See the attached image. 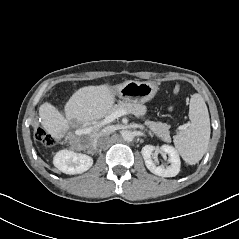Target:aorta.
<instances>
[{
	"label": "aorta",
	"instance_id": "aorta-1",
	"mask_svg": "<svg viewBox=\"0 0 239 239\" xmlns=\"http://www.w3.org/2000/svg\"><path fill=\"white\" fill-rule=\"evenodd\" d=\"M122 137L125 141L131 142L134 139V134L131 131H124Z\"/></svg>",
	"mask_w": 239,
	"mask_h": 239
}]
</instances>
